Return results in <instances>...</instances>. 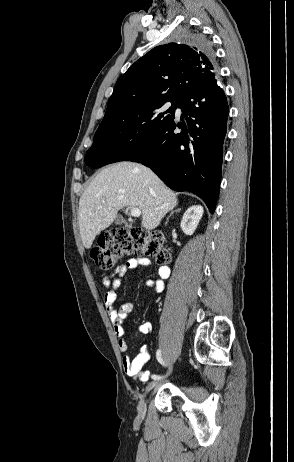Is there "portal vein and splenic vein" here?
<instances>
[{
  "instance_id": "portal-vein-and-splenic-vein-1",
  "label": "portal vein and splenic vein",
  "mask_w": 294,
  "mask_h": 462,
  "mask_svg": "<svg viewBox=\"0 0 294 462\" xmlns=\"http://www.w3.org/2000/svg\"><path fill=\"white\" fill-rule=\"evenodd\" d=\"M130 210V213L133 217L137 218V217H140L141 215V210L138 209V208H132V207H129L128 208Z\"/></svg>"
}]
</instances>
